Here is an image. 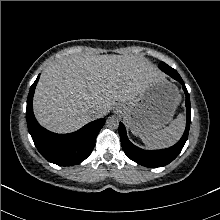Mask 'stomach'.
<instances>
[{
  "label": "stomach",
  "instance_id": "obj_1",
  "mask_svg": "<svg viewBox=\"0 0 220 220\" xmlns=\"http://www.w3.org/2000/svg\"><path fill=\"white\" fill-rule=\"evenodd\" d=\"M181 100L178 88L165 77L151 82L136 98L118 105L131 132L140 136L167 125Z\"/></svg>",
  "mask_w": 220,
  "mask_h": 220
}]
</instances>
